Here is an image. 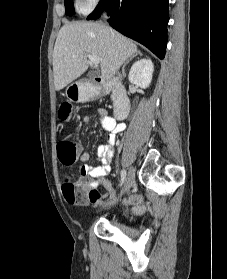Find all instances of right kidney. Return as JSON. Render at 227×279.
Returning <instances> with one entry per match:
<instances>
[{
    "instance_id": "1",
    "label": "right kidney",
    "mask_w": 227,
    "mask_h": 279,
    "mask_svg": "<svg viewBox=\"0 0 227 279\" xmlns=\"http://www.w3.org/2000/svg\"><path fill=\"white\" fill-rule=\"evenodd\" d=\"M153 71L154 65L150 59H140L132 65L129 81L146 89L152 81Z\"/></svg>"
}]
</instances>
